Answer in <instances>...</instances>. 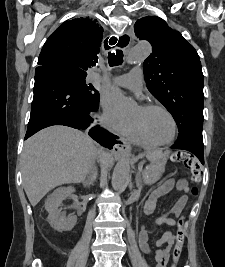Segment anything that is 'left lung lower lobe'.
I'll list each match as a JSON object with an SVG mask.
<instances>
[{"label":"left lung lower lobe","mask_w":225,"mask_h":267,"mask_svg":"<svg viewBox=\"0 0 225 267\" xmlns=\"http://www.w3.org/2000/svg\"><path fill=\"white\" fill-rule=\"evenodd\" d=\"M171 148L187 150L197 156L200 162L204 164L202 131L197 130L190 133L183 140L177 141Z\"/></svg>","instance_id":"1"}]
</instances>
